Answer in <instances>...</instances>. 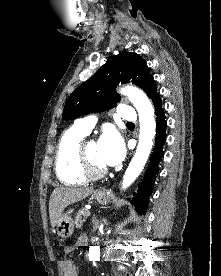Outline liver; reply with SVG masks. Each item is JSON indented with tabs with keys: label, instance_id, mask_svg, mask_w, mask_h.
I'll return each mask as SVG.
<instances>
[{
	"label": "liver",
	"instance_id": "1",
	"mask_svg": "<svg viewBox=\"0 0 221 276\" xmlns=\"http://www.w3.org/2000/svg\"><path fill=\"white\" fill-rule=\"evenodd\" d=\"M94 192L88 187H59L54 189L49 200V216L51 226L55 227L64 209L75 202L81 201Z\"/></svg>",
	"mask_w": 221,
	"mask_h": 276
}]
</instances>
